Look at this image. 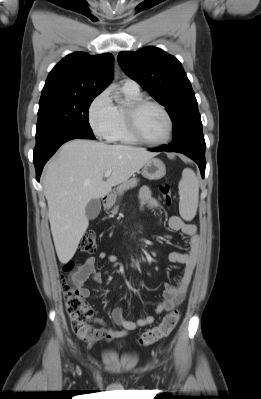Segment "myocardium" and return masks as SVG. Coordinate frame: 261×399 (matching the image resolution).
<instances>
[{"instance_id":"obj_1","label":"myocardium","mask_w":261,"mask_h":399,"mask_svg":"<svg viewBox=\"0 0 261 399\" xmlns=\"http://www.w3.org/2000/svg\"><path fill=\"white\" fill-rule=\"evenodd\" d=\"M146 106H155L164 114L168 123V132L164 139L158 141L150 140L141 133L138 125V113ZM124 117L129 135L137 142L150 146H161L167 144L172 139L174 133L173 119L166 107L157 101L142 98L131 101L125 108Z\"/></svg>"}]
</instances>
